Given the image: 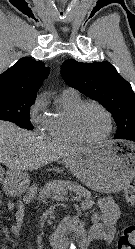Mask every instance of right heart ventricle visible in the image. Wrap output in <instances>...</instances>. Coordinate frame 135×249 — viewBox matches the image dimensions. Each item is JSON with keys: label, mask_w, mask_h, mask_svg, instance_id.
I'll return each instance as SVG.
<instances>
[{"label": "right heart ventricle", "mask_w": 135, "mask_h": 249, "mask_svg": "<svg viewBox=\"0 0 135 249\" xmlns=\"http://www.w3.org/2000/svg\"><path fill=\"white\" fill-rule=\"evenodd\" d=\"M82 102L78 93L63 92L55 102V111L46 119L45 135L65 145L82 144L75 138L70 127L71 115Z\"/></svg>", "instance_id": "right-heart-ventricle-1"}]
</instances>
